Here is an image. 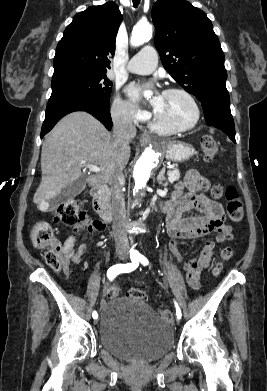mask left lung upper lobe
Masks as SVG:
<instances>
[{
  "label": "left lung upper lobe",
  "mask_w": 267,
  "mask_h": 391,
  "mask_svg": "<svg viewBox=\"0 0 267 391\" xmlns=\"http://www.w3.org/2000/svg\"><path fill=\"white\" fill-rule=\"evenodd\" d=\"M155 46L167 72L200 101L229 97L220 42L206 14L183 0H159L152 8Z\"/></svg>",
  "instance_id": "1"
}]
</instances>
